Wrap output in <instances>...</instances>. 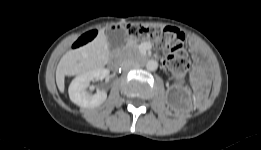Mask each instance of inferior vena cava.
I'll return each mask as SVG.
<instances>
[{"instance_id": "inferior-vena-cava-1", "label": "inferior vena cava", "mask_w": 261, "mask_h": 150, "mask_svg": "<svg viewBox=\"0 0 261 150\" xmlns=\"http://www.w3.org/2000/svg\"><path fill=\"white\" fill-rule=\"evenodd\" d=\"M138 67H139V64L132 59H126L121 63V68L124 72H127L131 69H135Z\"/></svg>"}]
</instances>
